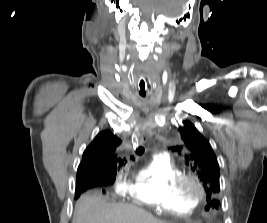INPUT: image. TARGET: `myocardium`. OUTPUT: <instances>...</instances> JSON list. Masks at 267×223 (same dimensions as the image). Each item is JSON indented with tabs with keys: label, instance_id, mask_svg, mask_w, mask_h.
I'll list each match as a JSON object with an SVG mask.
<instances>
[{
	"label": "myocardium",
	"instance_id": "f54148a6",
	"mask_svg": "<svg viewBox=\"0 0 267 223\" xmlns=\"http://www.w3.org/2000/svg\"><path fill=\"white\" fill-rule=\"evenodd\" d=\"M174 188L180 196L196 204L206 196L203 182L192 174H184L179 177L174 183Z\"/></svg>",
	"mask_w": 267,
	"mask_h": 223
}]
</instances>
